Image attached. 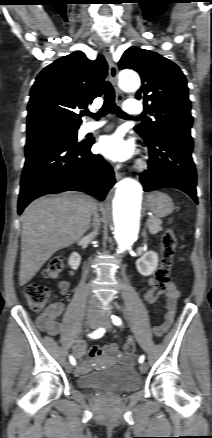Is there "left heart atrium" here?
I'll use <instances>...</instances> for the list:
<instances>
[{"instance_id":"1","label":"left heart atrium","mask_w":212,"mask_h":438,"mask_svg":"<svg viewBox=\"0 0 212 438\" xmlns=\"http://www.w3.org/2000/svg\"><path fill=\"white\" fill-rule=\"evenodd\" d=\"M97 149L103 156L115 162L127 161L134 153L133 144L120 133L102 136Z\"/></svg>"}]
</instances>
